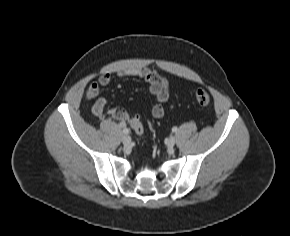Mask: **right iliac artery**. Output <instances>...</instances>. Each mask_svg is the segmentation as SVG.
Masks as SVG:
<instances>
[{
  "label": "right iliac artery",
  "instance_id": "1",
  "mask_svg": "<svg viewBox=\"0 0 290 236\" xmlns=\"http://www.w3.org/2000/svg\"><path fill=\"white\" fill-rule=\"evenodd\" d=\"M123 127H124V126H123ZM123 132L126 133V134H128V133H129V129H127V128H123Z\"/></svg>",
  "mask_w": 290,
  "mask_h": 236
}]
</instances>
